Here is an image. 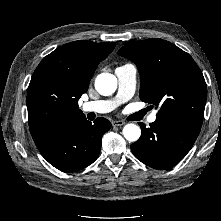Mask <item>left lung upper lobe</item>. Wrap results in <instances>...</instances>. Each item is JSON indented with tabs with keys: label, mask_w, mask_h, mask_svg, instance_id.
<instances>
[{
	"label": "left lung upper lobe",
	"mask_w": 221,
	"mask_h": 221,
	"mask_svg": "<svg viewBox=\"0 0 221 221\" xmlns=\"http://www.w3.org/2000/svg\"><path fill=\"white\" fill-rule=\"evenodd\" d=\"M118 54L140 72V99L160 107L156 117L202 125L207 86L192 57L176 45L154 38L132 42Z\"/></svg>",
	"instance_id": "obj_1"
}]
</instances>
